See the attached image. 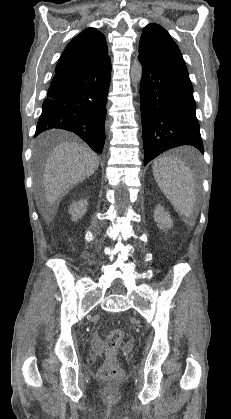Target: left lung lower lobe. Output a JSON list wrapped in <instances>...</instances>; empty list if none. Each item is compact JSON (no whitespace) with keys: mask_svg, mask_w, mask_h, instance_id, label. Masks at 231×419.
<instances>
[{"mask_svg":"<svg viewBox=\"0 0 231 419\" xmlns=\"http://www.w3.org/2000/svg\"><path fill=\"white\" fill-rule=\"evenodd\" d=\"M138 59L143 67L140 107L144 165L178 146H194L204 153L188 71Z\"/></svg>","mask_w":231,"mask_h":419,"instance_id":"1","label":"left lung lower lobe"}]
</instances>
